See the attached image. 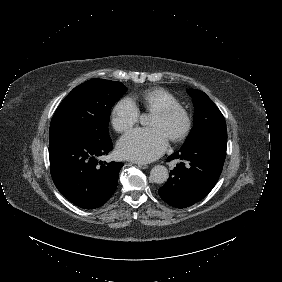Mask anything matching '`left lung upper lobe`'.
<instances>
[{"mask_svg": "<svg viewBox=\"0 0 282 282\" xmlns=\"http://www.w3.org/2000/svg\"><path fill=\"white\" fill-rule=\"evenodd\" d=\"M187 92L192 97L195 107L194 126L183 145L190 143L207 131L226 129L222 113L204 92L196 89H189Z\"/></svg>", "mask_w": 282, "mask_h": 282, "instance_id": "1", "label": "left lung upper lobe"}]
</instances>
